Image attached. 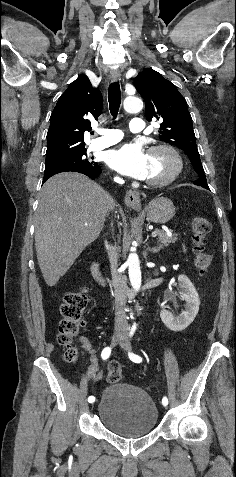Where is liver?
<instances>
[{"label":"liver","instance_id":"1","mask_svg":"<svg viewBox=\"0 0 236 477\" xmlns=\"http://www.w3.org/2000/svg\"><path fill=\"white\" fill-rule=\"evenodd\" d=\"M111 195L79 173H60L43 185L35 218V247L46 284H57L100 235Z\"/></svg>","mask_w":236,"mask_h":477}]
</instances>
